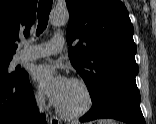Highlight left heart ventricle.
Returning a JSON list of instances; mask_svg holds the SVG:
<instances>
[{
	"mask_svg": "<svg viewBox=\"0 0 156 124\" xmlns=\"http://www.w3.org/2000/svg\"><path fill=\"white\" fill-rule=\"evenodd\" d=\"M85 103L86 97L83 90L73 82H70L58 105L67 112H76L80 110Z\"/></svg>",
	"mask_w": 156,
	"mask_h": 124,
	"instance_id": "left-heart-ventricle-1",
	"label": "left heart ventricle"
}]
</instances>
